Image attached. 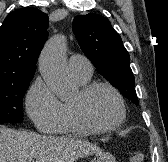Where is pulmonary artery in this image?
<instances>
[{"label": "pulmonary artery", "mask_w": 168, "mask_h": 162, "mask_svg": "<svg viewBox=\"0 0 168 162\" xmlns=\"http://www.w3.org/2000/svg\"><path fill=\"white\" fill-rule=\"evenodd\" d=\"M72 75L81 81H88L92 76L91 62L82 55H72L68 60Z\"/></svg>", "instance_id": "obj_1"}]
</instances>
